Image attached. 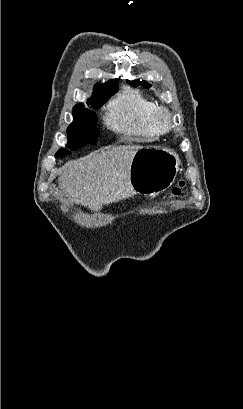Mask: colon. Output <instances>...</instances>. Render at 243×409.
Returning a JSON list of instances; mask_svg holds the SVG:
<instances>
[{"label":"colon","instance_id":"5ec220e1","mask_svg":"<svg viewBox=\"0 0 243 409\" xmlns=\"http://www.w3.org/2000/svg\"><path fill=\"white\" fill-rule=\"evenodd\" d=\"M186 185L183 181H180L170 192V197L181 198L185 195Z\"/></svg>","mask_w":243,"mask_h":409}]
</instances>
